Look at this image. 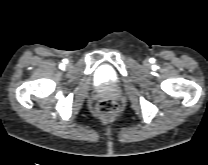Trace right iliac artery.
<instances>
[{
  "label": "right iliac artery",
  "instance_id": "right-iliac-artery-1",
  "mask_svg": "<svg viewBox=\"0 0 208 165\" xmlns=\"http://www.w3.org/2000/svg\"><path fill=\"white\" fill-rule=\"evenodd\" d=\"M64 63H67V60H66V59L64 60ZM62 66H63V64L60 65V68H61Z\"/></svg>",
  "mask_w": 208,
  "mask_h": 165
}]
</instances>
